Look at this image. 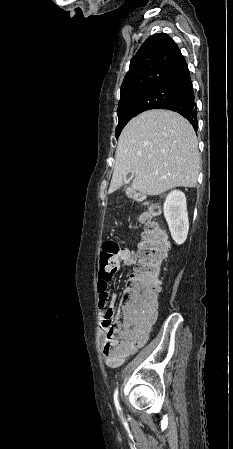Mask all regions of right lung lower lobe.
I'll return each instance as SVG.
<instances>
[{"label": "right lung lower lobe", "instance_id": "98d812e1", "mask_svg": "<svg viewBox=\"0 0 233 449\" xmlns=\"http://www.w3.org/2000/svg\"><path fill=\"white\" fill-rule=\"evenodd\" d=\"M181 95L173 100H170L158 108L160 109H168L175 111L185 117L194 127L195 130L198 128L197 121V110L196 103L194 100V92L192 88V82H188L181 86L180 88Z\"/></svg>", "mask_w": 233, "mask_h": 449}]
</instances>
